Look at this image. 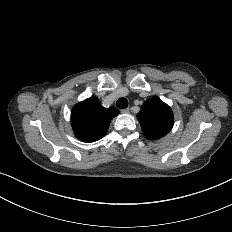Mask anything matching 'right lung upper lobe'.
Masks as SVG:
<instances>
[{
    "label": "right lung upper lobe",
    "mask_w": 232,
    "mask_h": 232,
    "mask_svg": "<svg viewBox=\"0 0 232 232\" xmlns=\"http://www.w3.org/2000/svg\"><path fill=\"white\" fill-rule=\"evenodd\" d=\"M118 113L115 107L106 109L96 97H90L73 107L71 125L78 139L94 142L104 137L110 121Z\"/></svg>",
    "instance_id": "right-lung-upper-lobe-1"
}]
</instances>
